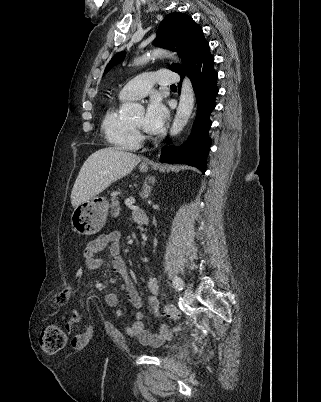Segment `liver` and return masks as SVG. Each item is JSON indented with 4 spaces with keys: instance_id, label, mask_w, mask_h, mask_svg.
<instances>
[{
    "instance_id": "6515ba94",
    "label": "liver",
    "mask_w": 321,
    "mask_h": 402,
    "mask_svg": "<svg viewBox=\"0 0 321 402\" xmlns=\"http://www.w3.org/2000/svg\"><path fill=\"white\" fill-rule=\"evenodd\" d=\"M141 158L117 147L92 153L84 162L71 192L73 207L95 197L113 182L129 174Z\"/></svg>"
}]
</instances>
